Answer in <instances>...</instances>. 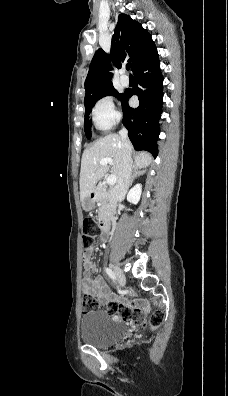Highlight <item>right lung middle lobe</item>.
Masks as SVG:
<instances>
[{
    "label": "right lung middle lobe",
    "mask_w": 228,
    "mask_h": 396,
    "mask_svg": "<svg viewBox=\"0 0 228 396\" xmlns=\"http://www.w3.org/2000/svg\"><path fill=\"white\" fill-rule=\"evenodd\" d=\"M112 95L115 96L118 99H122L124 94H119L113 86H110L108 88H105L93 95H91L87 100L85 101V134L88 139L91 138V131L90 128L92 126V120L89 118V114L91 109L93 108L95 102L99 99H101L104 96Z\"/></svg>",
    "instance_id": "right-lung-middle-lobe-1"
}]
</instances>
